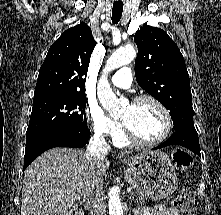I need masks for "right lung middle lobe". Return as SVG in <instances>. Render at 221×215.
Segmentation results:
<instances>
[{
	"mask_svg": "<svg viewBox=\"0 0 221 215\" xmlns=\"http://www.w3.org/2000/svg\"><path fill=\"white\" fill-rule=\"evenodd\" d=\"M85 94L54 95L33 102L26 138L43 132L76 133L88 129Z\"/></svg>",
	"mask_w": 221,
	"mask_h": 215,
	"instance_id": "obj_1",
	"label": "right lung middle lobe"
}]
</instances>
